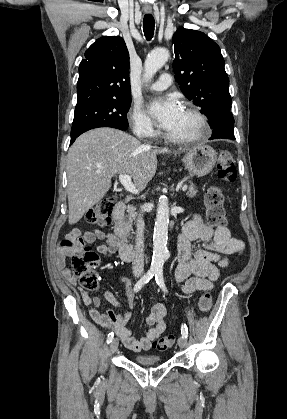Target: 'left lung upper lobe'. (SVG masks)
I'll return each instance as SVG.
<instances>
[{"instance_id": "left-lung-upper-lobe-1", "label": "left lung upper lobe", "mask_w": 287, "mask_h": 419, "mask_svg": "<svg viewBox=\"0 0 287 419\" xmlns=\"http://www.w3.org/2000/svg\"><path fill=\"white\" fill-rule=\"evenodd\" d=\"M176 81L214 128L230 112L229 78L220 47L200 31L181 28L173 36Z\"/></svg>"}]
</instances>
